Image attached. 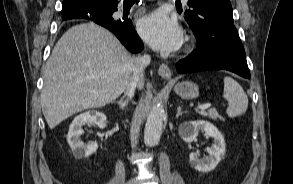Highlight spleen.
I'll return each instance as SVG.
<instances>
[{
	"mask_svg": "<svg viewBox=\"0 0 293 184\" xmlns=\"http://www.w3.org/2000/svg\"><path fill=\"white\" fill-rule=\"evenodd\" d=\"M223 97L228 101L226 113L229 117H237L246 112L248 97L241 85L231 77L224 78Z\"/></svg>",
	"mask_w": 293,
	"mask_h": 184,
	"instance_id": "obj_1",
	"label": "spleen"
}]
</instances>
